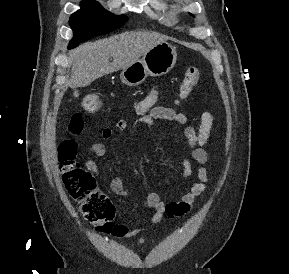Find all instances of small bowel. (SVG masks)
Returning <instances> with one entry per match:
<instances>
[{
    "instance_id": "small-bowel-1",
    "label": "small bowel",
    "mask_w": 289,
    "mask_h": 274,
    "mask_svg": "<svg viewBox=\"0 0 289 274\" xmlns=\"http://www.w3.org/2000/svg\"><path fill=\"white\" fill-rule=\"evenodd\" d=\"M160 95L157 89H153L146 98L139 101L136 104V110L141 116L139 123H151L158 120L172 121L178 125L185 126L183 133L187 139V147L190 157L199 164L197 170L198 181L195 182L192 187L184 193L177 201H163L160 196L151 192L146 196L144 206L148 209L154 210V214L150 219L152 225L159 224L165 217L175 218L186 215L193 207L195 199L203 194L206 190V184L208 182V174L206 164L208 162V153L205 150L214 123V117L210 111H204L200 116V123L198 127L188 126V118L185 114L175 111L172 108H168L158 104ZM133 125L130 129L133 130L139 124ZM128 128V124L125 120H119L116 123V129L124 131ZM113 135L111 128H104L101 132V137L105 140L110 139ZM90 151L98 156L104 157L106 155V147L103 143H94L90 147ZM183 177L188 180L192 175V166L189 158H182ZM86 169L97 175L99 173V166L94 160H87L85 162ZM110 188L113 193L121 197H129L130 191L124 185L120 178H114L110 182ZM146 228H135L127 224H118L113 230L112 234L118 237L132 238L139 237L138 243H145L146 239L142 234L146 231Z\"/></svg>"
}]
</instances>
